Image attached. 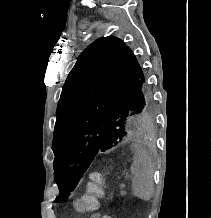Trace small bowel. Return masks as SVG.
<instances>
[{
	"instance_id": "c3829d8e",
	"label": "small bowel",
	"mask_w": 211,
	"mask_h": 218,
	"mask_svg": "<svg viewBox=\"0 0 211 218\" xmlns=\"http://www.w3.org/2000/svg\"><path fill=\"white\" fill-rule=\"evenodd\" d=\"M90 218H100L99 214H93Z\"/></svg>"
}]
</instances>
